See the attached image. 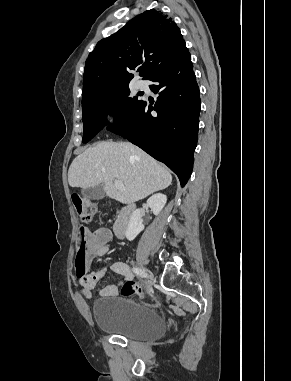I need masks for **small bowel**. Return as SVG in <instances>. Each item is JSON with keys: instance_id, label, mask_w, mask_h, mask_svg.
<instances>
[{"instance_id": "obj_1", "label": "small bowel", "mask_w": 291, "mask_h": 381, "mask_svg": "<svg viewBox=\"0 0 291 381\" xmlns=\"http://www.w3.org/2000/svg\"><path fill=\"white\" fill-rule=\"evenodd\" d=\"M89 258L104 256L109 251V243L112 239V231L107 227H101L94 232L88 231ZM110 270L123 277V280L117 283L105 286L101 291V296L112 297L119 294V288L123 281H129L133 278L126 263L122 261L114 262ZM108 274L107 268H101L97 271L88 273L79 279L80 291L84 298L89 299L92 295V290L96 284L104 279Z\"/></svg>"}]
</instances>
